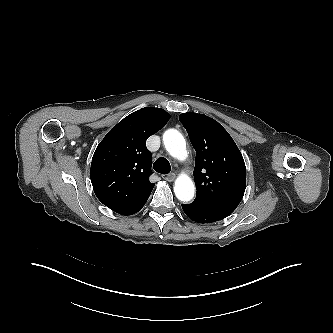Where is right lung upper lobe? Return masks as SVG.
I'll use <instances>...</instances> for the list:
<instances>
[{
    "label": "right lung upper lobe",
    "instance_id": "cb5924a9",
    "mask_svg": "<svg viewBox=\"0 0 333 333\" xmlns=\"http://www.w3.org/2000/svg\"><path fill=\"white\" fill-rule=\"evenodd\" d=\"M169 118L161 108H142L122 119L99 143L91 182L104 205L121 215H132L144 206L155 185L149 181L152 154L146 140Z\"/></svg>",
    "mask_w": 333,
    "mask_h": 333
}]
</instances>
